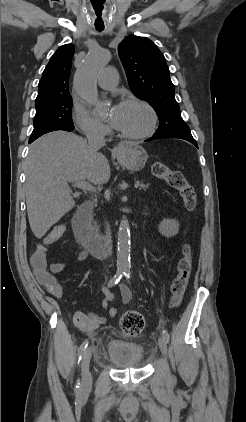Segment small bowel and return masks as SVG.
Segmentation results:
<instances>
[{"label": "small bowel", "mask_w": 246, "mask_h": 422, "mask_svg": "<svg viewBox=\"0 0 246 422\" xmlns=\"http://www.w3.org/2000/svg\"><path fill=\"white\" fill-rule=\"evenodd\" d=\"M86 252H82L80 257L84 258ZM65 268V263H53L49 266L44 276L38 275L39 282L48 290L49 293L56 297L63 295V286L55 278V274L60 273ZM104 299L103 307L107 310V316H100L94 313L76 312L74 315V323L81 331L86 333L94 332L100 325L104 324L107 318H114L117 315L115 307L111 306L114 302V294L106 287H102ZM121 297L124 303H129L132 299V293L127 285L121 286Z\"/></svg>", "instance_id": "c3829d8e"}]
</instances>
